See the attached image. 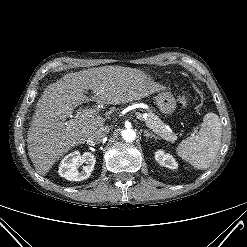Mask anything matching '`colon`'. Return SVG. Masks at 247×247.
<instances>
[{
  "label": "colon",
  "instance_id": "obj_1",
  "mask_svg": "<svg viewBox=\"0 0 247 247\" xmlns=\"http://www.w3.org/2000/svg\"><path fill=\"white\" fill-rule=\"evenodd\" d=\"M178 102L181 107H187L190 103V96L187 93H181Z\"/></svg>",
  "mask_w": 247,
  "mask_h": 247
}]
</instances>
